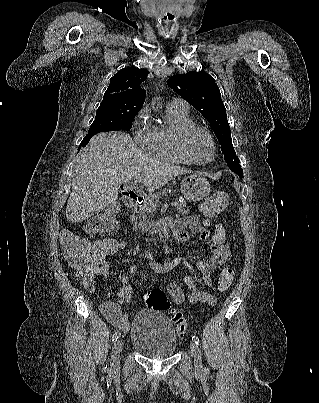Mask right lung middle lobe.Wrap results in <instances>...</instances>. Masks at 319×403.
I'll list each match as a JSON object with an SVG mask.
<instances>
[{"instance_id": "right-lung-middle-lobe-1", "label": "right lung middle lobe", "mask_w": 319, "mask_h": 403, "mask_svg": "<svg viewBox=\"0 0 319 403\" xmlns=\"http://www.w3.org/2000/svg\"><path fill=\"white\" fill-rule=\"evenodd\" d=\"M139 110L123 104H100L90 132L130 130L131 123Z\"/></svg>"}]
</instances>
